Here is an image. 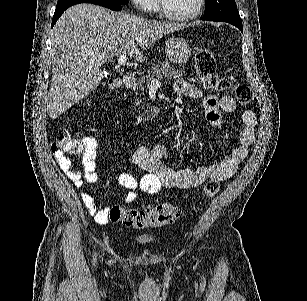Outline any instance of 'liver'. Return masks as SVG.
Segmentation results:
<instances>
[{
  "label": "liver",
  "mask_w": 307,
  "mask_h": 301,
  "mask_svg": "<svg viewBox=\"0 0 307 301\" xmlns=\"http://www.w3.org/2000/svg\"><path fill=\"white\" fill-rule=\"evenodd\" d=\"M186 26L173 20H147L125 10L113 12L89 2L70 6L52 28L49 116H60L97 88L104 78L101 66L113 56L128 54L142 62L145 48Z\"/></svg>",
  "instance_id": "liver-1"
}]
</instances>
